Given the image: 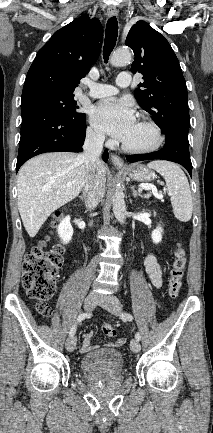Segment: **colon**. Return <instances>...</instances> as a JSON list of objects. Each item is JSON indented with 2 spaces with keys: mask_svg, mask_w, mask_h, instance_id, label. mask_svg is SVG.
Listing matches in <instances>:
<instances>
[{
  "mask_svg": "<svg viewBox=\"0 0 213 433\" xmlns=\"http://www.w3.org/2000/svg\"><path fill=\"white\" fill-rule=\"evenodd\" d=\"M61 218L56 217L55 225ZM64 249L60 244L48 245L47 240L41 241L25 255L22 265V284L28 296L37 300V311L45 317L52 313L49 301L56 290V278L63 263ZM186 265L185 250L177 244L169 270L168 292L170 297L179 295ZM102 330L108 337L116 335L112 324L106 323Z\"/></svg>",
  "mask_w": 213,
  "mask_h": 433,
  "instance_id": "colon-1",
  "label": "colon"
}]
</instances>
